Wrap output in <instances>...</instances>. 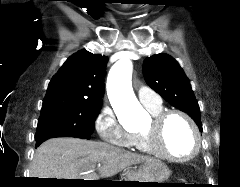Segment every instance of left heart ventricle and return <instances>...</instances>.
I'll return each instance as SVG.
<instances>
[{"mask_svg": "<svg viewBox=\"0 0 240 187\" xmlns=\"http://www.w3.org/2000/svg\"><path fill=\"white\" fill-rule=\"evenodd\" d=\"M151 121L143 130L150 128ZM161 146L168 153L185 157L190 154L194 147V136L187 122L180 116H170L162 128Z\"/></svg>", "mask_w": 240, "mask_h": 187, "instance_id": "obj_1", "label": "left heart ventricle"}]
</instances>
